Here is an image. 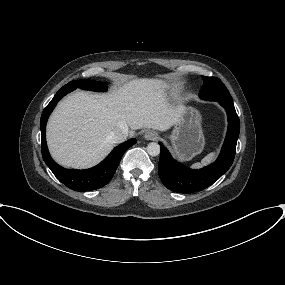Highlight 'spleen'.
I'll list each match as a JSON object with an SVG mask.
<instances>
[{
    "instance_id": "obj_1",
    "label": "spleen",
    "mask_w": 285,
    "mask_h": 285,
    "mask_svg": "<svg viewBox=\"0 0 285 285\" xmlns=\"http://www.w3.org/2000/svg\"><path fill=\"white\" fill-rule=\"evenodd\" d=\"M215 156H216V153L212 152V153L208 154L206 157H204L202 159L201 163L193 164V167L199 168V167H201L203 165H206V164L212 162L214 160Z\"/></svg>"
}]
</instances>
